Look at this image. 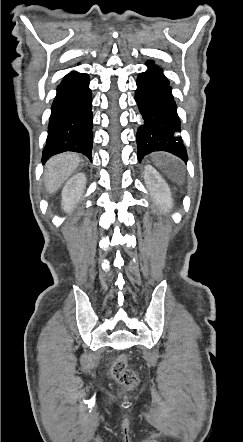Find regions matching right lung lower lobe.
I'll return each mask as SVG.
<instances>
[{
  "mask_svg": "<svg viewBox=\"0 0 243 442\" xmlns=\"http://www.w3.org/2000/svg\"><path fill=\"white\" fill-rule=\"evenodd\" d=\"M92 141L89 76L71 72L57 87L42 162L45 163L51 156L64 151L79 152L91 160Z\"/></svg>",
  "mask_w": 243,
  "mask_h": 442,
  "instance_id": "1",
  "label": "right lung lower lobe"
}]
</instances>
